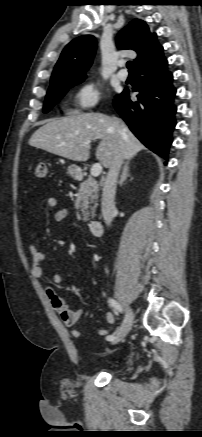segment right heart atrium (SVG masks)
Masks as SVG:
<instances>
[{
	"mask_svg": "<svg viewBox=\"0 0 202 437\" xmlns=\"http://www.w3.org/2000/svg\"><path fill=\"white\" fill-rule=\"evenodd\" d=\"M101 100V88L89 81L80 85L72 95L73 110L85 112L95 108Z\"/></svg>",
	"mask_w": 202,
	"mask_h": 437,
	"instance_id": "obj_1",
	"label": "right heart atrium"
}]
</instances>
